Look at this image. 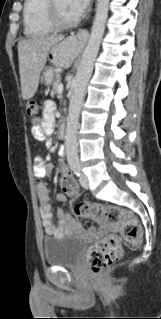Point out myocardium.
Wrapping results in <instances>:
<instances>
[{
    "instance_id": "myocardium-1",
    "label": "myocardium",
    "mask_w": 161,
    "mask_h": 319,
    "mask_svg": "<svg viewBox=\"0 0 161 319\" xmlns=\"http://www.w3.org/2000/svg\"><path fill=\"white\" fill-rule=\"evenodd\" d=\"M46 14L50 25L57 30H63L72 28L77 25L79 18L75 17L70 20H64L61 18L57 6V0H47Z\"/></svg>"
}]
</instances>
